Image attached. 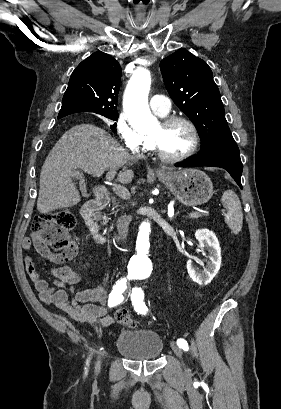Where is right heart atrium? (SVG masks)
<instances>
[{"mask_svg": "<svg viewBox=\"0 0 281 409\" xmlns=\"http://www.w3.org/2000/svg\"><path fill=\"white\" fill-rule=\"evenodd\" d=\"M129 115H118L114 122L119 140L124 148L134 150L141 143V136L135 131L134 125L128 118Z\"/></svg>", "mask_w": 281, "mask_h": 409, "instance_id": "obj_1", "label": "right heart atrium"}]
</instances>
